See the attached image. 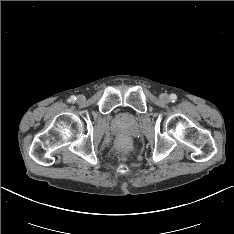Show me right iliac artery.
I'll return each mask as SVG.
<instances>
[{
	"mask_svg": "<svg viewBox=\"0 0 234 234\" xmlns=\"http://www.w3.org/2000/svg\"><path fill=\"white\" fill-rule=\"evenodd\" d=\"M75 100H76V97H75V96H71V97L68 99L69 102H73V101H75Z\"/></svg>",
	"mask_w": 234,
	"mask_h": 234,
	"instance_id": "1",
	"label": "right iliac artery"
}]
</instances>
